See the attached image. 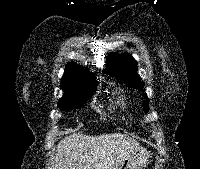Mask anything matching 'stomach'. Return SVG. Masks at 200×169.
Wrapping results in <instances>:
<instances>
[{
    "instance_id": "stomach-1",
    "label": "stomach",
    "mask_w": 200,
    "mask_h": 169,
    "mask_svg": "<svg viewBox=\"0 0 200 169\" xmlns=\"http://www.w3.org/2000/svg\"><path fill=\"white\" fill-rule=\"evenodd\" d=\"M150 155L144 148L132 151L117 169H143L149 162Z\"/></svg>"
}]
</instances>
